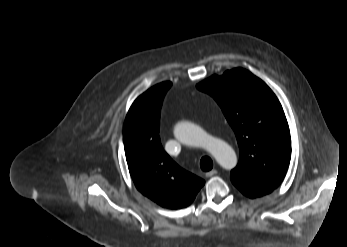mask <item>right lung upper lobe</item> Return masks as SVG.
<instances>
[{
    "instance_id": "cb5924a9",
    "label": "right lung upper lobe",
    "mask_w": 347,
    "mask_h": 247,
    "mask_svg": "<svg viewBox=\"0 0 347 247\" xmlns=\"http://www.w3.org/2000/svg\"><path fill=\"white\" fill-rule=\"evenodd\" d=\"M171 82L157 84L132 104L123 129L129 172L136 188L158 205L180 209L190 205L205 184L179 167L162 148L160 110Z\"/></svg>"
}]
</instances>
